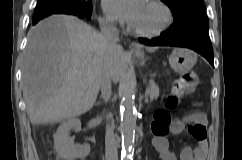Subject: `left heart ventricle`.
<instances>
[{"label":"left heart ventricle","mask_w":242,"mask_h":160,"mask_svg":"<svg viewBox=\"0 0 242 160\" xmlns=\"http://www.w3.org/2000/svg\"><path fill=\"white\" fill-rule=\"evenodd\" d=\"M164 14L160 8L144 0L140 9L138 18L133 25L136 28L144 30H153L161 25Z\"/></svg>","instance_id":"b2bd125f"}]
</instances>
